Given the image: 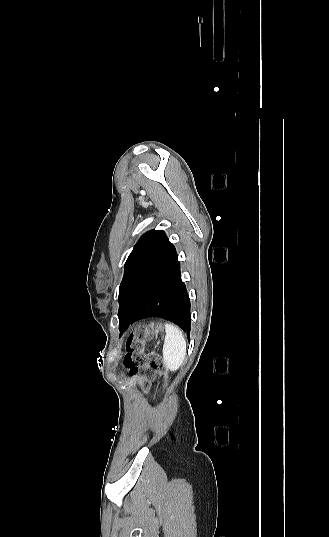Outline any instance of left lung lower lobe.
<instances>
[{
    "mask_svg": "<svg viewBox=\"0 0 329 537\" xmlns=\"http://www.w3.org/2000/svg\"><path fill=\"white\" fill-rule=\"evenodd\" d=\"M163 317L181 327L190 337V299L181 279L178 256L150 282L139 301L119 323L120 333L139 320Z\"/></svg>",
    "mask_w": 329,
    "mask_h": 537,
    "instance_id": "left-lung-lower-lobe-1",
    "label": "left lung lower lobe"
}]
</instances>
